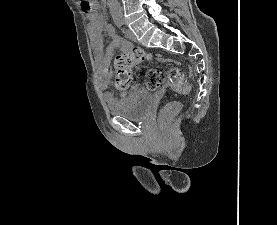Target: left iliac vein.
Listing matches in <instances>:
<instances>
[{
    "instance_id": "obj_1",
    "label": "left iliac vein",
    "mask_w": 277,
    "mask_h": 225,
    "mask_svg": "<svg viewBox=\"0 0 277 225\" xmlns=\"http://www.w3.org/2000/svg\"><path fill=\"white\" fill-rule=\"evenodd\" d=\"M125 35L128 39H130L134 42L137 41V38H136L135 34L130 29H125Z\"/></svg>"
}]
</instances>
